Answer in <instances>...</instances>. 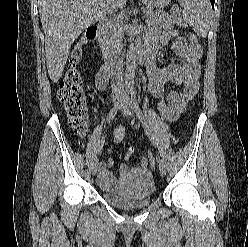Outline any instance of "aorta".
<instances>
[{
  "label": "aorta",
  "mask_w": 248,
  "mask_h": 247,
  "mask_svg": "<svg viewBox=\"0 0 248 247\" xmlns=\"http://www.w3.org/2000/svg\"><path fill=\"white\" fill-rule=\"evenodd\" d=\"M136 53L133 39L130 38L126 54L125 84L131 86L134 84L136 73Z\"/></svg>",
  "instance_id": "aorta-1"
}]
</instances>
